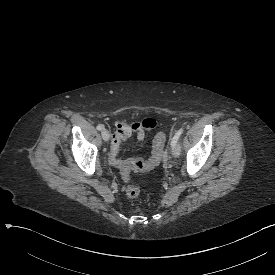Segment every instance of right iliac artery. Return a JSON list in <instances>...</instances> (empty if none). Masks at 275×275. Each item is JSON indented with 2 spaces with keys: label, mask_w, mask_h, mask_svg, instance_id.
Wrapping results in <instances>:
<instances>
[{
  "label": "right iliac artery",
  "mask_w": 275,
  "mask_h": 275,
  "mask_svg": "<svg viewBox=\"0 0 275 275\" xmlns=\"http://www.w3.org/2000/svg\"><path fill=\"white\" fill-rule=\"evenodd\" d=\"M102 129H103V125L99 124V125L97 126V130H102Z\"/></svg>",
  "instance_id": "obj_1"
}]
</instances>
